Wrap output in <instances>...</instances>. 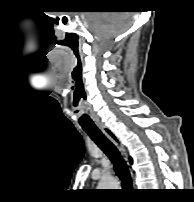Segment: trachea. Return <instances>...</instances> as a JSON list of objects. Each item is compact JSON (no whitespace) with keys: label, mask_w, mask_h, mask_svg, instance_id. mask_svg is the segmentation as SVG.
Returning <instances> with one entry per match:
<instances>
[{"label":"trachea","mask_w":194,"mask_h":202,"mask_svg":"<svg viewBox=\"0 0 194 202\" xmlns=\"http://www.w3.org/2000/svg\"><path fill=\"white\" fill-rule=\"evenodd\" d=\"M83 130L91 137L98 147L109 157L114 165L117 176L125 188H132V179L126 162L116 146L98 129L96 125H82Z\"/></svg>","instance_id":"1"}]
</instances>
